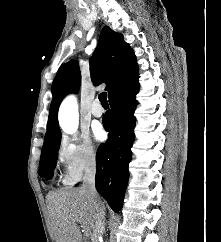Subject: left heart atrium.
Returning <instances> with one entry per match:
<instances>
[{"mask_svg":"<svg viewBox=\"0 0 221 242\" xmlns=\"http://www.w3.org/2000/svg\"><path fill=\"white\" fill-rule=\"evenodd\" d=\"M95 136L98 140H103L105 137V132L101 127H97L94 131Z\"/></svg>","mask_w":221,"mask_h":242,"instance_id":"obj_1","label":"left heart atrium"}]
</instances>
